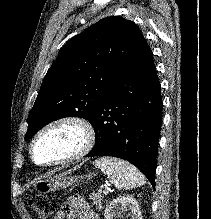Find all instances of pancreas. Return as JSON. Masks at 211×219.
<instances>
[{
  "label": "pancreas",
  "mask_w": 211,
  "mask_h": 219,
  "mask_svg": "<svg viewBox=\"0 0 211 219\" xmlns=\"http://www.w3.org/2000/svg\"><path fill=\"white\" fill-rule=\"evenodd\" d=\"M90 199L93 201V205L96 207L97 210H101L102 209V200L103 197L100 194L97 193H92L90 195Z\"/></svg>",
  "instance_id": "pancreas-1"
}]
</instances>
